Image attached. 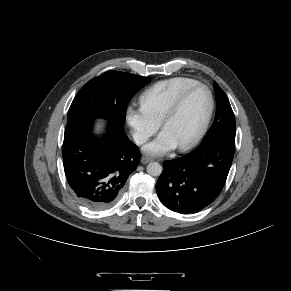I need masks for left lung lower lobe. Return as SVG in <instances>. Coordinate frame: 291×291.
<instances>
[{
	"label": "left lung lower lobe",
	"mask_w": 291,
	"mask_h": 291,
	"mask_svg": "<svg viewBox=\"0 0 291 291\" xmlns=\"http://www.w3.org/2000/svg\"><path fill=\"white\" fill-rule=\"evenodd\" d=\"M234 150L235 140L220 138L165 161L156 184L161 203L181 214L197 213L207 207L223 189Z\"/></svg>",
	"instance_id": "1"
}]
</instances>
